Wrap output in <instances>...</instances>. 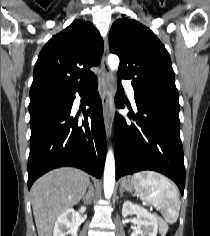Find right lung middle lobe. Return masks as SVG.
<instances>
[{"instance_id": "dd1d6c3e", "label": "right lung middle lobe", "mask_w": 210, "mask_h": 236, "mask_svg": "<svg viewBox=\"0 0 210 236\" xmlns=\"http://www.w3.org/2000/svg\"><path fill=\"white\" fill-rule=\"evenodd\" d=\"M67 96V92L57 91L54 89L47 88L38 90L30 98L29 111L49 103L63 101Z\"/></svg>"}]
</instances>
